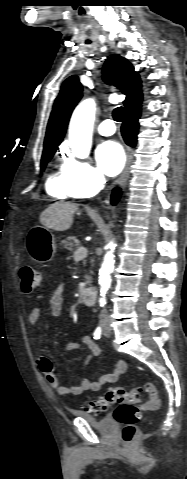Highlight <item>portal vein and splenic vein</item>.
I'll return each mask as SVG.
<instances>
[{"label": "portal vein and splenic vein", "mask_w": 187, "mask_h": 479, "mask_svg": "<svg viewBox=\"0 0 187 479\" xmlns=\"http://www.w3.org/2000/svg\"><path fill=\"white\" fill-rule=\"evenodd\" d=\"M88 250L85 247H78L74 252V259L81 260L87 256Z\"/></svg>", "instance_id": "portal-vein-and-splenic-vein-1"}]
</instances>
